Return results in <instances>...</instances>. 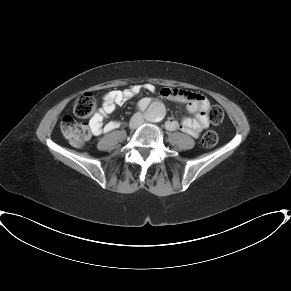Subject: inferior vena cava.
Returning a JSON list of instances; mask_svg holds the SVG:
<instances>
[{
	"instance_id": "1",
	"label": "inferior vena cava",
	"mask_w": 291,
	"mask_h": 291,
	"mask_svg": "<svg viewBox=\"0 0 291 291\" xmlns=\"http://www.w3.org/2000/svg\"><path fill=\"white\" fill-rule=\"evenodd\" d=\"M144 122V119L141 115V113H135L133 117L131 118V125L134 127H138Z\"/></svg>"
}]
</instances>
